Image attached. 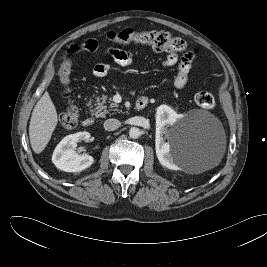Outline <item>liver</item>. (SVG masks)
Masks as SVG:
<instances>
[{
    "label": "liver",
    "mask_w": 267,
    "mask_h": 267,
    "mask_svg": "<svg viewBox=\"0 0 267 267\" xmlns=\"http://www.w3.org/2000/svg\"><path fill=\"white\" fill-rule=\"evenodd\" d=\"M58 122L57 111L49 93L45 92L36 103L29 125V138L33 151L41 153L51 139Z\"/></svg>",
    "instance_id": "6515ba94"
}]
</instances>
